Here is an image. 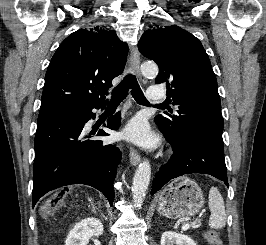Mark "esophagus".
Here are the masks:
<instances>
[{
    "label": "esophagus",
    "mask_w": 266,
    "mask_h": 245,
    "mask_svg": "<svg viewBox=\"0 0 266 245\" xmlns=\"http://www.w3.org/2000/svg\"><path fill=\"white\" fill-rule=\"evenodd\" d=\"M129 64L132 72L139 76L140 54L135 46L130 49ZM129 158L132 165H137L140 162V154L134 148L130 149Z\"/></svg>",
    "instance_id": "esophagus-1"
}]
</instances>
